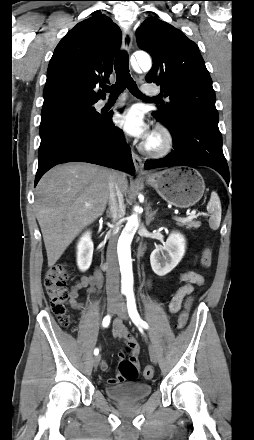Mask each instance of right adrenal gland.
Segmentation results:
<instances>
[{
    "label": "right adrenal gland",
    "mask_w": 254,
    "mask_h": 440,
    "mask_svg": "<svg viewBox=\"0 0 254 440\" xmlns=\"http://www.w3.org/2000/svg\"><path fill=\"white\" fill-rule=\"evenodd\" d=\"M106 214H107V215L109 214V211H108V210L106 211Z\"/></svg>",
    "instance_id": "obj_1"
}]
</instances>
